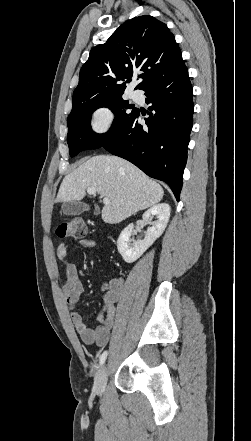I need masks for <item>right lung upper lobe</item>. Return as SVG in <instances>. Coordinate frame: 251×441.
Returning a JSON list of instances; mask_svg holds the SVG:
<instances>
[{
  "label": "right lung upper lobe",
  "instance_id": "1",
  "mask_svg": "<svg viewBox=\"0 0 251 441\" xmlns=\"http://www.w3.org/2000/svg\"><path fill=\"white\" fill-rule=\"evenodd\" d=\"M181 50L166 24L144 15L121 25L105 44L94 47L80 70L73 102L122 96L137 71L143 90L184 66Z\"/></svg>",
  "mask_w": 251,
  "mask_h": 441
}]
</instances>
